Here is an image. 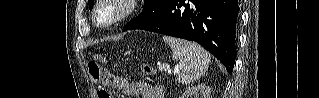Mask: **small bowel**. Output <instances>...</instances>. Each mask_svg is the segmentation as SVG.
Masks as SVG:
<instances>
[{"instance_id":"c3829d8e","label":"small bowel","mask_w":319,"mask_h":98,"mask_svg":"<svg viewBox=\"0 0 319 98\" xmlns=\"http://www.w3.org/2000/svg\"><path fill=\"white\" fill-rule=\"evenodd\" d=\"M107 83L124 93L126 97L162 98L163 89L144 82L126 81L118 76H108Z\"/></svg>"}]
</instances>
